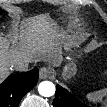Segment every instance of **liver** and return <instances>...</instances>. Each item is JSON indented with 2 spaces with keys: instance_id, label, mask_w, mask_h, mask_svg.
<instances>
[{
  "instance_id": "liver-1",
  "label": "liver",
  "mask_w": 107,
  "mask_h": 107,
  "mask_svg": "<svg viewBox=\"0 0 107 107\" xmlns=\"http://www.w3.org/2000/svg\"><path fill=\"white\" fill-rule=\"evenodd\" d=\"M20 19L15 25V29L12 32V42L13 44H18L19 46L13 50L10 58L11 62L16 58L22 57H30V58H39L41 54H44L43 50H39L38 48H34L30 42V36L34 31L39 28L46 27V25L53 24L48 15H43L31 20H28L25 25L20 24ZM56 28V27H55ZM22 29V30H21ZM20 41L22 42L20 44ZM8 49L5 44H1L0 46V73L3 77L8 73Z\"/></svg>"
}]
</instances>
